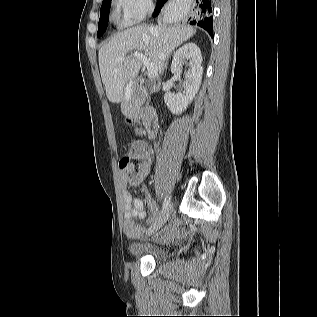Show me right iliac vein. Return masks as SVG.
I'll return each instance as SVG.
<instances>
[{
	"mask_svg": "<svg viewBox=\"0 0 317 317\" xmlns=\"http://www.w3.org/2000/svg\"><path fill=\"white\" fill-rule=\"evenodd\" d=\"M172 207H173L172 204H170L169 207L167 208V210L162 215V217L148 228V230L146 232V234L148 236H150L153 233H155L156 231H158L167 222V220L169 219L170 214L172 212Z\"/></svg>",
	"mask_w": 317,
	"mask_h": 317,
	"instance_id": "right-iliac-vein-1",
	"label": "right iliac vein"
}]
</instances>
